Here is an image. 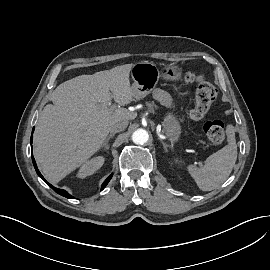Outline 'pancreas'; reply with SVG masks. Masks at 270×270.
Segmentation results:
<instances>
[{"label":"pancreas","instance_id":"obj_1","mask_svg":"<svg viewBox=\"0 0 270 270\" xmlns=\"http://www.w3.org/2000/svg\"><path fill=\"white\" fill-rule=\"evenodd\" d=\"M147 106L151 111H154V109L157 107L153 102H147Z\"/></svg>","mask_w":270,"mask_h":270}]
</instances>
